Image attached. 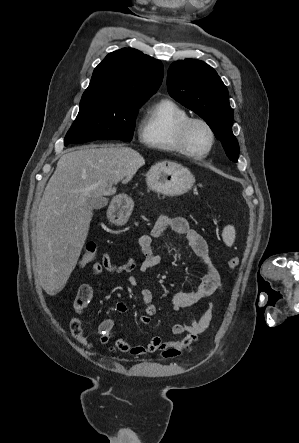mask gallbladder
Listing matches in <instances>:
<instances>
[{"label": "gallbladder", "mask_w": 299, "mask_h": 443, "mask_svg": "<svg viewBox=\"0 0 299 443\" xmlns=\"http://www.w3.org/2000/svg\"><path fill=\"white\" fill-rule=\"evenodd\" d=\"M108 204V200L104 197H91L87 198L86 205L91 209L98 210Z\"/></svg>", "instance_id": "1"}]
</instances>
